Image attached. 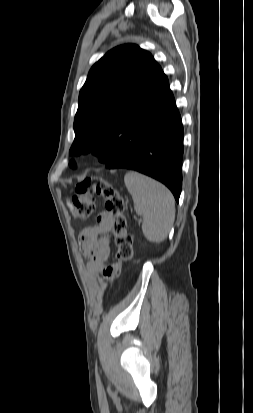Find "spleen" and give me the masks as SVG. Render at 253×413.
<instances>
[{
    "label": "spleen",
    "instance_id": "obj_1",
    "mask_svg": "<svg viewBox=\"0 0 253 413\" xmlns=\"http://www.w3.org/2000/svg\"><path fill=\"white\" fill-rule=\"evenodd\" d=\"M124 182L132 196L136 213L143 216L144 236L150 242L164 241L175 220L172 193L163 184L134 171L125 174Z\"/></svg>",
    "mask_w": 253,
    "mask_h": 413
}]
</instances>
